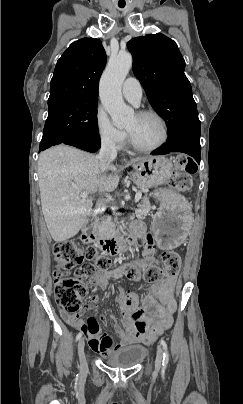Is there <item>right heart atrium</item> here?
Segmentation results:
<instances>
[{"label": "right heart atrium", "instance_id": "obj_1", "mask_svg": "<svg viewBox=\"0 0 243 404\" xmlns=\"http://www.w3.org/2000/svg\"><path fill=\"white\" fill-rule=\"evenodd\" d=\"M94 122L99 142L102 145L117 151L126 146L128 142L126 132L113 124L109 114L101 105L96 108Z\"/></svg>", "mask_w": 243, "mask_h": 404}]
</instances>
